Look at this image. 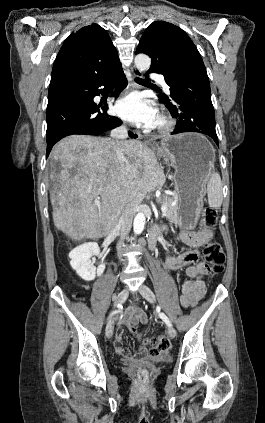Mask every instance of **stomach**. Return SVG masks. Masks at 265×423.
Wrapping results in <instances>:
<instances>
[{"instance_id": "obj_1", "label": "stomach", "mask_w": 265, "mask_h": 423, "mask_svg": "<svg viewBox=\"0 0 265 423\" xmlns=\"http://www.w3.org/2000/svg\"><path fill=\"white\" fill-rule=\"evenodd\" d=\"M162 151L175 169L177 223L183 229H194L202 211L206 182L214 170V148L203 135L184 133L165 138Z\"/></svg>"}]
</instances>
